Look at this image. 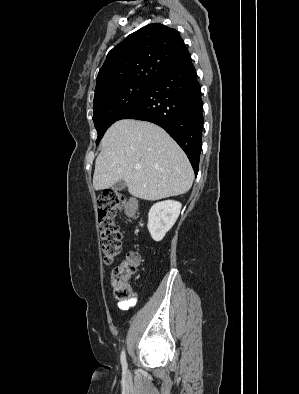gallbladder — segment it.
I'll return each instance as SVG.
<instances>
[{
    "label": "gallbladder",
    "instance_id": "obj_1",
    "mask_svg": "<svg viewBox=\"0 0 299 394\" xmlns=\"http://www.w3.org/2000/svg\"><path fill=\"white\" fill-rule=\"evenodd\" d=\"M125 187H126V183H125V181L123 180V179H121V180H119L118 182H116L114 185H113V189L114 190H116V191H120V190H123V189H125Z\"/></svg>",
    "mask_w": 299,
    "mask_h": 394
}]
</instances>
